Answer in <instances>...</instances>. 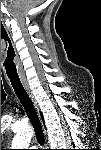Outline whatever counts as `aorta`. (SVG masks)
Segmentation results:
<instances>
[{
	"label": "aorta",
	"mask_w": 101,
	"mask_h": 150,
	"mask_svg": "<svg viewBox=\"0 0 101 150\" xmlns=\"http://www.w3.org/2000/svg\"><path fill=\"white\" fill-rule=\"evenodd\" d=\"M33 136V130L30 127L24 128L22 131L18 132L12 141L13 149H27L30 145Z\"/></svg>",
	"instance_id": "obj_1"
}]
</instances>
